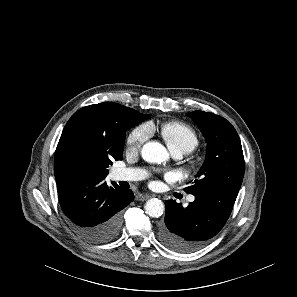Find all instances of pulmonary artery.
Instances as JSON below:
<instances>
[{
	"label": "pulmonary artery",
	"mask_w": 297,
	"mask_h": 297,
	"mask_svg": "<svg viewBox=\"0 0 297 297\" xmlns=\"http://www.w3.org/2000/svg\"><path fill=\"white\" fill-rule=\"evenodd\" d=\"M174 157L180 158L188 151L183 149H177L172 151ZM145 177V172L141 169L135 168H117L112 171V179L115 181H136L143 179ZM195 200L194 196H189L188 201L193 202Z\"/></svg>",
	"instance_id": "obj_1"
}]
</instances>
